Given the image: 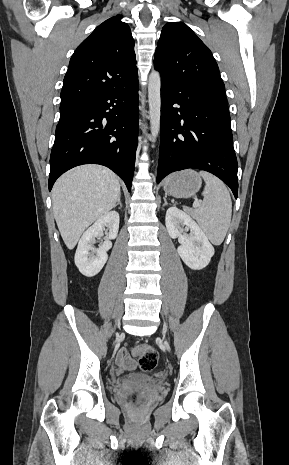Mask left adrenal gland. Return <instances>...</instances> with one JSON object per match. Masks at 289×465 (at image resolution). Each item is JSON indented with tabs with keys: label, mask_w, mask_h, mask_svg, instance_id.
<instances>
[{
	"label": "left adrenal gland",
	"mask_w": 289,
	"mask_h": 465,
	"mask_svg": "<svg viewBox=\"0 0 289 465\" xmlns=\"http://www.w3.org/2000/svg\"><path fill=\"white\" fill-rule=\"evenodd\" d=\"M166 197H167V196L165 195V197L163 198V199H164V204H163V206H165V205L168 204V203H167V200H166Z\"/></svg>",
	"instance_id": "a2214340"
}]
</instances>
